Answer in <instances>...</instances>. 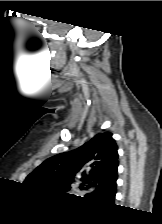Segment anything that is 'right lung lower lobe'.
<instances>
[{
	"label": "right lung lower lobe",
	"mask_w": 162,
	"mask_h": 224,
	"mask_svg": "<svg viewBox=\"0 0 162 224\" xmlns=\"http://www.w3.org/2000/svg\"><path fill=\"white\" fill-rule=\"evenodd\" d=\"M114 198H115V195H114V197L112 198V200L110 202H113L114 201Z\"/></svg>",
	"instance_id": "obj_1"
}]
</instances>
